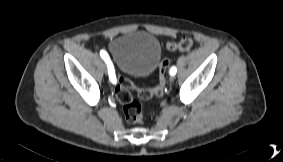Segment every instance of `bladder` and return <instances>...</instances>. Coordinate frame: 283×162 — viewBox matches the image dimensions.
I'll use <instances>...</instances> for the list:
<instances>
[{
	"label": "bladder",
	"mask_w": 283,
	"mask_h": 162,
	"mask_svg": "<svg viewBox=\"0 0 283 162\" xmlns=\"http://www.w3.org/2000/svg\"><path fill=\"white\" fill-rule=\"evenodd\" d=\"M109 50L116 67L134 77H147L161 59V45L152 34L129 32L114 38Z\"/></svg>",
	"instance_id": "1"
}]
</instances>
